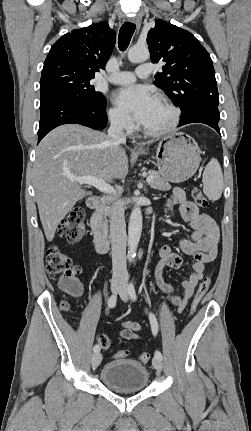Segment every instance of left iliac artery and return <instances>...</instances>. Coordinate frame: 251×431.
I'll return each instance as SVG.
<instances>
[{"instance_id":"44dca946","label":"left iliac artery","mask_w":251,"mask_h":431,"mask_svg":"<svg viewBox=\"0 0 251 431\" xmlns=\"http://www.w3.org/2000/svg\"><path fill=\"white\" fill-rule=\"evenodd\" d=\"M128 293L133 300H136L137 297H136L135 287H134V284L132 282L128 285ZM149 320H150V324H151L152 333H153V335H156L158 332V322H157V319L153 313H149ZM155 357L162 359L161 352L156 350L155 351Z\"/></svg>"}]
</instances>
